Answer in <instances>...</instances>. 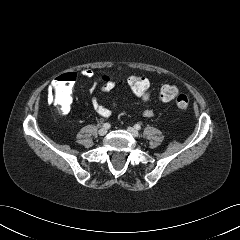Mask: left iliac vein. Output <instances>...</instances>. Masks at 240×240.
<instances>
[{
	"mask_svg": "<svg viewBox=\"0 0 240 240\" xmlns=\"http://www.w3.org/2000/svg\"><path fill=\"white\" fill-rule=\"evenodd\" d=\"M127 130L133 137H139V132L136 129L128 127Z\"/></svg>",
	"mask_w": 240,
	"mask_h": 240,
	"instance_id": "4c4485c4",
	"label": "left iliac vein"
}]
</instances>
